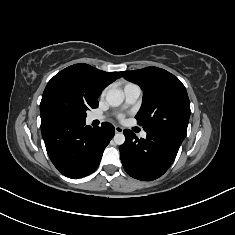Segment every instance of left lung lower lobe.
<instances>
[{
    "label": "left lung lower lobe",
    "instance_id": "1",
    "mask_svg": "<svg viewBox=\"0 0 235 235\" xmlns=\"http://www.w3.org/2000/svg\"><path fill=\"white\" fill-rule=\"evenodd\" d=\"M125 143L119 148L122 165L131 177L151 181L162 176L173 163L182 139L171 134L147 132L138 139L124 130Z\"/></svg>",
    "mask_w": 235,
    "mask_h": 235
}]
</instances>
